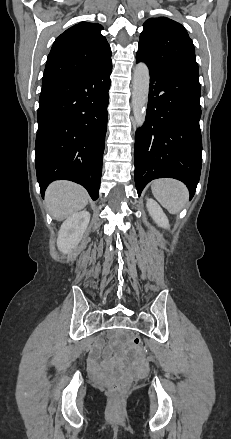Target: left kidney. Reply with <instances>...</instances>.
<instances>
[{
    "instance_id": "5707ae66",
    "label": "left kidney",
    "mask_w": 231,
    "mask_h": 439,
    "mask_svg": "<svg viewBox=\"0 0 231 439\" xmlns=\"http://www.w3.org/2000/svg\"><path fill=\"white\" fill-rule=\"evenodd\" d=\"M147 208L153 220L163 228H169V221L159 204L153 199H147Z\"/></svg>"
}]
</instances>
